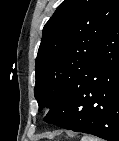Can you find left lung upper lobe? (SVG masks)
Listing matches in <instances>:
<instances>
[{
  "mask_svg": "<svg viewBox=\"0 0 119 141\" xmlns=\"http://www.w3.org/2000/svg\"><path fill=\"white\" fill-rule=\"evenodd\" d=\"M119 14V0H65L43 28L36 58L35 98L51 109L94 58Z\"/></svg>",
  "mask_w": 119,
  "mask_h": 141,
  "instance_id": "obj_1",
  "label": "left lung upper lobe"
}]
</instances>
